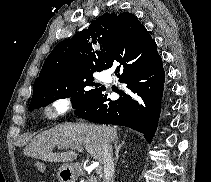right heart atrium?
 Returning a JSON list of instances; mask_svg holds the SVG:
<instances>
[{"instance_id":"d8ad5b80","label":"right heart atrium","mask_w":211,"mask_h":182,"mask_svg":"<svg viewBox=\"0 0 211 182\" xmlns=\"http://www.w3.org/2000/svg\"><path fill=\"white\" fill-rule=\"evenodd\" d=\"M72 109L70 97H60L50 104L51 115L54 119L61 118Z\"/></svg>"}]
</instances>
